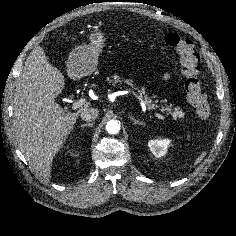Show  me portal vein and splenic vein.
<instances>
[{"instance_id":"18ae733b","label":"portal vein and splenic vein","mask_w":236,"mask_h":236,"mask_svg":"<svg viewBox=\"0 0 236 236\" xmlns=\"http://www.w3.org/2000/svg\"><path fill=\"white\" fill-rule=\"evenodd\" d=\"M87 103V99L86 98H81L77 101H75L73 104H72V109L73 110H76V109H79L81 108L84 104ZM154 115L158 118V119H161V120H165V117L163 115H161L160 113L158 112H154Z\"/></svg>"}]
</instances>
